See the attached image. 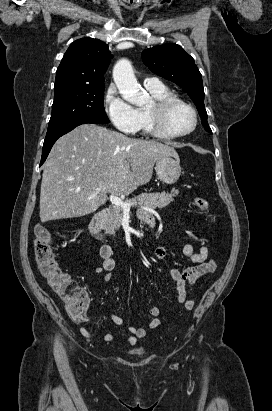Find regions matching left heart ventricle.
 <instances>
[{
  "label": "left heart ventricle",
  "instance_id": "b2bd125f",
  "mask_svg": "<svg viewBox=\"0 0 272 411\" xmlns=\"http://www.w3.org/2000/svg\"><path fill=\"white\" fill-rule=\"evenodd\" d=\"M193 122L191 112L184 106L173 107L167 117L166 126L171 132H184L188 130Z\"/></svg>",
  "mask_w": 272,
  "mask_h": 411
}]
</instances>
